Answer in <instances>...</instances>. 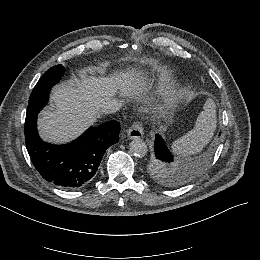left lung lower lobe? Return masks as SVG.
Here are the masks:
<instances>
[{
  "label": "left lung lower lobe",
  "instance_id": "1",
  "mask_svg": "<svg viewBox=\"0 0 260 260\" xmlns=\"http://www.w3.org/2000/svg\"><path fill=\"white\" fill-rule=\"evenodd\" d=\"M154 152L155 155L163 160H172L173 155L170 153L169 149L167 148L164 140L157 134L155 138L154 144Z\"/></svg>",
  "mask_w": 260,
  "mask_h": 260
}]
</instances>
